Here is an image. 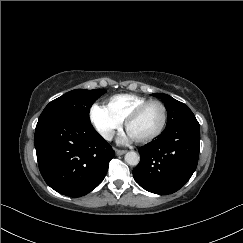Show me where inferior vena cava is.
<instances>
[{
    "label": "inferior vena cava",
    "mask_w": 243,
    "mask_h": 243,
    "mask_svg": "<svg viewBox=\"0 0 243 243\" xmlns=\"http://www.w3.org/2000/svg\"><path fill=\"white\" fill-rule=\"evenodd\" d=\"M114 131H111V130H107V131H104L103 133H102V136L106 139V140H112L113 139V137H114Z\"/></svg>",
    "instance_id": "1"
}]
</instances>
